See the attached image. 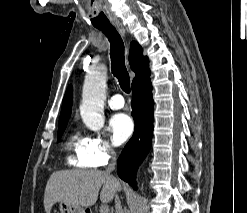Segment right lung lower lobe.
<instances>
[{
    "label": "right lung lower lobe",
    "instance_id": "right-lung-lower-lobe-1",
    "mask_svg": "<svg viewBox=\"0 0 247 213\" xmlns=\"http://www.w3.org/2000/svg\"><path fill=\"white\" fill-rule=\"evenodd\" d=\"M132 91L135 130L118 158L117 173L122 180L136 188L137 169L148 154L152 143L154 101L150 75L133 83Z\"/></svg>",
    "mask_w": 247,
    "mask_h": 213
}]
</instances>
